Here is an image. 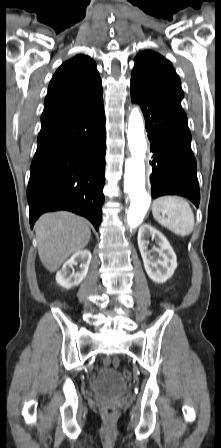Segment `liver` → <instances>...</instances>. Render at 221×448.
I'll list each match as a JSON object with an SVG mask.
<instances>
[{"label":"liver","instance_id":"liver-1","mask_svg":"<svg viewBox=\"0 0 221 448\" xmlns=\"http://www.w3.org/2000/svg\"><path fill=\"white\" fill-rule=\"evenodd\" d=\"M35 233L39 258L50 272L81 251L91 238L88 221L64 211L42 215L35 224Z\"/></svg>","mask_w":221,"mask_h":448}]
</instances>
